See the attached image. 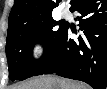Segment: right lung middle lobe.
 <instances>
[{"label":"right lung middle lobe","instance_id":"dd1d6c3e","mask_svg":"<svg viewBox=\"0 0 107 89\" xmlns=\"http://www.w3.org/2000/svg\"><path fill=\"white\" fill-rule=\"evenodd\" d=\"M66 27V24L53 20L52 16L8 27L6 56L9 78L14 81L32 77L56 48ZM36 42L44 46V54L37 61L32 58Z\"/></svg>","mask_w":107,"mask_h":89}]
</instances>
